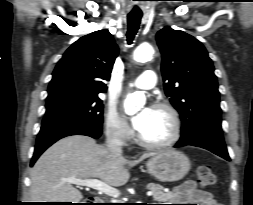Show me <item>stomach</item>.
I'll return each instance as SVG.
<instances>
[{"label":"stomach","mask_w":253,"mask_h":205,"mask_svg":"<svg viewBox=\"0 0 253 205\" xmlns=\"http://www.w3.org/2000/svg\"><path fill=\"white\" fill-rule=\"evenodd\" d=\"M190 165L189 158L175 150L159 152L146 163L148 172L165 182L183 178L189 172Z\"/></svg>","instance_id":"0dacf381"}]
</instances>
